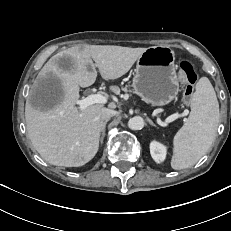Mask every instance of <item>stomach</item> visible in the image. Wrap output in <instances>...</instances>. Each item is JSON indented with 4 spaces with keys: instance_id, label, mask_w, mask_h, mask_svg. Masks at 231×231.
<instances>
[{
    "instance_id": "obj_1",
    "label": "stomach",
    "mask_w": 231,
    "mask_h": 231,
    "mask_svg": "<svg viewBox=\"0 0 231 231\" xmlns=\"http://www.w3.org/2000/svg\"><path fill=\"white\" fill-rule=\"evenodd\" d=\"M174 51L167 46H153L138 58L132 87L145 102L164 106L179 92Z\"/></svg>"
}]
</instances>
